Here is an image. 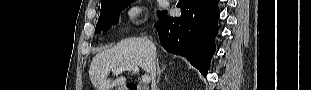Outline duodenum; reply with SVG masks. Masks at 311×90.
<instances>
[{"label": "duodenum", "mask_w": 311, "mask_h": 90, "mask_svg": "<svg viewBox=\"0 0 311 90\" xmlns=\"http://www.w3.org/2000/svg\"><path fill=\"white\" fill-rule=\"evenodd\" d=\"M125 90H145V88L138 86L136 84H129V85H127Z\"/></svg>", "instance_id": "410a0bca"}]
</instances>
